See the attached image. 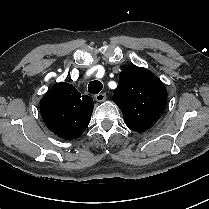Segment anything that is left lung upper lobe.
<instances>
[{
    "mask_svg": "<svg viewBox=\"0 0 209 209\" xmlns=\"http://www.w3.org/2000/svg\"><path fill=\"white\" fill-rule=\"evenodd\" d=\"M113 101L122 111L125 124L133 131L144 132L162 116L167 91L161 80L149 70L126 67L119 75Z\"/></svg>",
    "mask_w": 209,
    "mask_h": 209,
    "instance_id": "obj_1",
    "label": "left lung upper lobe"
}]
</instances>
